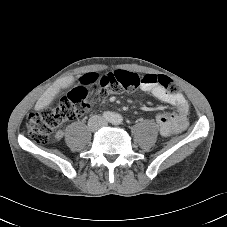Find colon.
I'll return each instance as SVG.
<instances>
[{
    "instance_id": "5ec220e1",
    "label": "colon",
    "mask_w": 227,
    "mask_h": 227,
    "mask_svg": "<svg viewBox=\"0 0 227 227\" xmlns=\"http://www.w3.org/2000/svg\"><path fill=\"white\" fill-rule=\"evenodd\" d=\"M142 84L160 85L172 94L179 90L177 84L164 75L148 74L142 77L133 72L116 70L105 74L102 81L75 87L60 100L57 106L29 114L26 121L28 132L37 143L46 144L59 126L75 120L88 110L89 89L96 91L99 96L106 97L111 94L135 91Z\"/></svg>"
}]
</instances>
